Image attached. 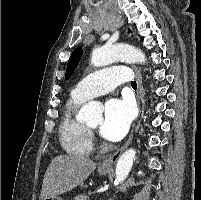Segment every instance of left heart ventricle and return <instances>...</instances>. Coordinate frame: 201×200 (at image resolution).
Returning a JSON list of instances; mask_svg holds the SVG:
<instances>
[{"label": "left heart ventricle", "mask_w": 201, "mask_h": 200, "mask_svg": "<svg viewBox=\"0 0 201 200\" xmlns=\"http://www.w3.org/2000/svg\"><path fill=\"white\" fill-rule=\"evenodd\" d=\"M100 124H101V121H97V122H94V123L89 124V126H90L91 128L96 129V128H98V127L100 126Z\"/></svg>", "instance_id": "1"}]
</instances>
